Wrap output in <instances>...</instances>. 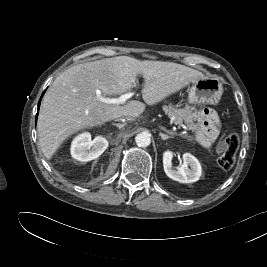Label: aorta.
Listing matches in <instances>:
<instances>
[{
  "mask_svg": "<svg viewBox=\"0 0 267 267\" xmlns=\"http://www.w3.org/2000/svg\"><path fill=\"white\" fill-rule=\"evenodd\" d=\"M135 142L139 147H147L151 143L150 135L146 132H142L136 135Z\"/></svg>",
  "mask_w": 267,
  "mask_h": 267,
  "instance_id": "1",
  "label": "aorta"
}]
</instances>
